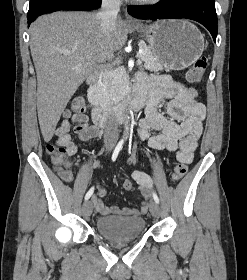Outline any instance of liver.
<instances>
[{"mask_svg":"<svg viewBox=\"0 0 247 280\" xmlns=\"http://www.w3.org/2000/svg\"><path fill=\"white\" fill-rule=\"evenodd\" d=\"M98 13L55 12L30 26V49L37 74V112L42 136L53 137L61 114L109 54L121 49L128 29L121 18L104 34Z\"/></svg>","mask_w":247,"mask_h":280,"instance_id":"obj_1","label":"liver"}]
</instances>
